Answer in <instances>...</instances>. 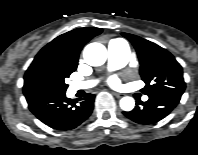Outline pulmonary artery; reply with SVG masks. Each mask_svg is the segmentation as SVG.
Masks as SVG:
<instances>
[{
  "label": "pulmonary artery",
  "instance_id": "obj_1",
  "mask_svg": "<svg viewBox=\"0 0 198 155\" xmlns=\"http://www.w3.org/2000/svg\"><path fill=\"white\" fill-rule=\"evenodd\" d=\"M130 52L129 47L123 39H113L108 44V64L112 69H118L126 65L129 60ZM94 80L88 81H75L69 86L70 92L74 93L81 89H87L95 85ZM147 96L143 97L146 101Z\"/></svg>",
  "mask_w": 198,
  "mask_h": 155
}]
</instances>
